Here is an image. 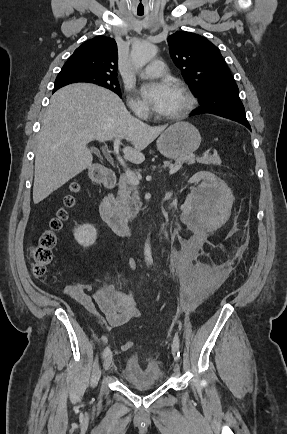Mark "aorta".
Returning <instances> with one entry per match:
<instances>
[{"instance_id": "1", "label": "aorta", "mask_w": 287, "mask_h": 434, "mask_svg": "<svg viewBox=\"0 0 287 434\" xmlns=\"http://www.w3.org/2000/svg\"><path fill=\"white\" fill-rule=\"evenodd\" d=\"M158 52V48L153 44H139L132 47L131 60L136 69L143 68L151 59L155 57ZM144 257L147 265L152 262L151 245L147 241L144 247Z\"/></svg>"}]
</instances>
